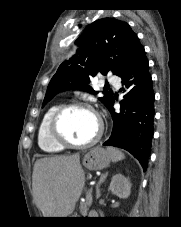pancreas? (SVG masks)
I'll use <instances>...</instances> for the list:
<instances>
[{"mask_svg":"<svg viewBox=\"0 0 181 227\" xmlns=\"http://www.w3.org/2000/svg\"><path fill=\"white\" fill-rule=\"evenodd\" d=\"M90 205H91V204H90V202H89L88 199H87L86 202L80 203V213L82 214L83 217H86Z\"/></svg>","mask_w":181,"mask_h":227,"instance_id":"pancreas-1","label":"pancreas"}]
</instances>
